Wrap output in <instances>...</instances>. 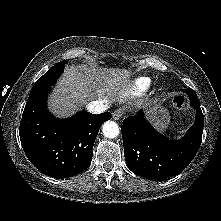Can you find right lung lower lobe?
<instances>
[{"instance_id": "98d812e1", "label": "right lung lower lobe", "mask_w": 221, "mask_h": 221, "mask_svg": "<svg viewBox=\"0 0 221 221\" xmlns=\"http://www.w3.org/2000/svg\"><path fill=\"white\" fill-rule=\"evenodd\" d=\"M51 87L29 95L19 135L29 161L41 172L57 178L78 174L89 167L100 126L111 113L85 111L70 119L56 120L47 110Z\"/></svg>"}]
</instances>
